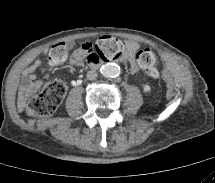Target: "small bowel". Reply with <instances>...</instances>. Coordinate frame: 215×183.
<instances>
[{
    "label": "small bowel",
    "mask_w": 215,
    "mask_h": 183,
    "mask_svg": "<svg viewBox=\"0 0 215 183\" xmlns=\"http://www.w3.org/2000/svg\"><path fill=\"white\" fill-rule=\"evenodd\" d=\"M139 49L138 43L132 40L126 42V50L124 52L122 61L128 64L132 70L136 69L135 66V56ZM84 59L81 53L75 52L71 58V62L76 64L80 63ZM37 66L33 65L27 69L21 83L19 86L18 103L21 108L25 107L29 98L34 95L42 86L41 80H39L36 75Z\"/></svg>",
    "instance_id": "obj_1"
}]
</instances>
